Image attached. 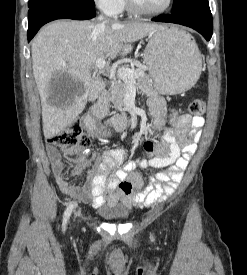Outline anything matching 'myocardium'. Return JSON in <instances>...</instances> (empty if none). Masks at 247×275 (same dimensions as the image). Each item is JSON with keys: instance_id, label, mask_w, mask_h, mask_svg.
Returning <instances> with one entry per match:
<instances>
[{"instance_id": "myocardium-1", "label": "myocardium", "mask_w": 247, "mask_h": 275, "mask_svg": "<svg viewBox=\"0 0 247 275\" xmlns=\"http://www.w3.org/2000/svg\"><path fill=\"white\" fill-rule=\"evenodd\" d=\"M128 9L136 15L154 16L166 12L173 4V0H167V3L160 9L148 10L139 5L136 0H126Z\"/></svg>"}]
</instances>
